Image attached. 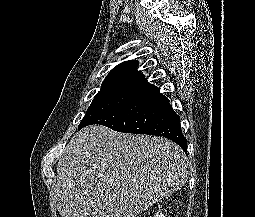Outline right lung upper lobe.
<instances>
[{"mask_svg":"<svg viewBox=\"0 0 255 217\" xmlns=\"http://www.w3.org/2000/svg\"><path fill=\"white\" fill-rule=\"evenodd\" d=\"M137 67L138 62L136 60L122 62L110 71L101 88L116 86L149 87L151 84L137 70Z\"/></svg>","mask_w":255,"mask_h":217,"instance_id":"cb5924a9","label":"right lung upper lobe"}]
</instances>
